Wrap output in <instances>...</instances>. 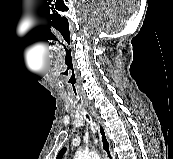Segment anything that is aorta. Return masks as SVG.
Returning <instances> with one entry per match:
<instances>
[{
    "mask_svg": "<svg viewBox=\"0 0 173 159\" xmlns=\"http://www.w3.org/2000/svg\"><path fill=\"white\" fill-rule=\"evenodd\" d=\"M74 159H100V156L95 151L92 152L78 151L76 152Z\"/></svg>",
    "mask_w": 173,
    "mask_h": 159,
    "instance_id": "762f6f07",
    "label": "aorta"
}]
</instances>
